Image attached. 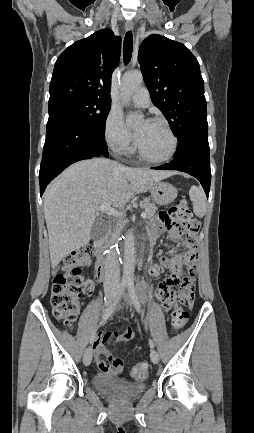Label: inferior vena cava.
I'll list each match as a JSON object with an SVG mask.
<instances>
[{"label": "inferior vena cava", "mask_w": 254, "mask_h": 433, "mask_svg": "<svg viewBox=\"0 0 254 433\" xmlns=\"http://www.w3.org/2000/svg\"><path fill=\"white\" fill-rule=\"evenodd\" d=\"M120 285V267L118 258L115 252H110L105 261V290L114 288L117 289Z\"/></svg>", "instance_id": "obj_1"}]
</instances>
